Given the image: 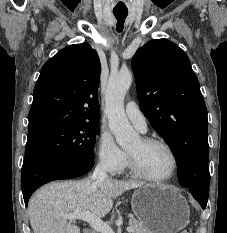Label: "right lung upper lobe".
<instances>
[{
    "label": "right lung upper lobe",
    "mask_w": 227,
    "mask_h": 233,
    "mask_svg": "<svg viewBox=\"0 0 227 233\" xmlns=\"http://www.w3.org/2000/svg\"><path fill=\"white\" fill-rule=\"evenodd\" d=\"M101 65L87 43L59 51L41 69L29 112L28 134L77 121H99Z\"/></svg>",
    "instance_id": "right-lung-upper-lobe-1"
}]
</instances>
